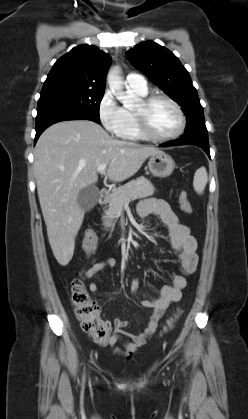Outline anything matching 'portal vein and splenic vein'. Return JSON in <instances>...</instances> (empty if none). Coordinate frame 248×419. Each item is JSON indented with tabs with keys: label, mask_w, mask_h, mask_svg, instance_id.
Returning <instances> with one entry per match:
<instances>
[{
	"label": "portal vein and splenic vein",
	"mask_w": 248,
	"mask_h": 419,
	"mask_svg": "<svg viewBox=\"0 0 248 419\" xmlns=\"http://www.w3.org/2000/svg\"><path fill=\"white\" fill-rule=\"evenodd\" d=\"M106 167H107V164H101V165H99V166H98L97 171H98L100 174H104V172H105V170H106Z\"/></svg>",
	"instance_id": "obj_1"
}]
</instances>
